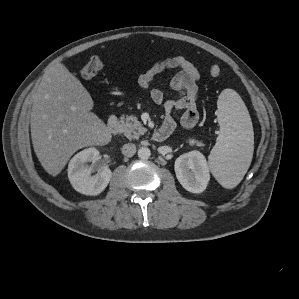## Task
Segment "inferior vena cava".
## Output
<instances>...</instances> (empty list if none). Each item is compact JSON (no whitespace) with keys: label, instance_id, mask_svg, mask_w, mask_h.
I'll return each mask as SVG.
<instances>
[{"label":"inferior vena cava","instance_id":"1","mask_svg":"<svg viewBox=\"0 0 299 299\" xmlns=\"http://www.w3.org/2000/svg\"><path fill=\"white\" fill-rule=\"evenodd\" d=\"M122 153L127 157H132L136 153V145L132 143L124 144Z\"/></svg>","mask_w":299,"mask_h":299}]
</instances>
